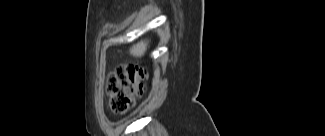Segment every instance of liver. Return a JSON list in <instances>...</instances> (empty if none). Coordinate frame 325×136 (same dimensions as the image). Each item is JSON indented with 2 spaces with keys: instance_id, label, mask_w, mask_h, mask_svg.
<instances>
[{
  "instance_id": "1",
  "label": "liver",
  "mask_w": 325,
  "mask_h": 136,
  "mask_svg": "<svg viewBox=\"0 0 325 136\" xmlns=\"http://www.w3.org/2000/svg\"><path fill=\"white\" fill-rule=\"evenodd\" d=\"M148 47V41L141 40L130 48V54L134 57H142Z\"/></svg>"
}]
</instances>
